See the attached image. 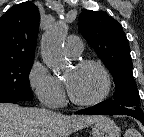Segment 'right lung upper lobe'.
<instances>
[{
  "label": "right lung upper lobe",
  "mask_w": 144,
  "mask_h": 137,
  "mask_svg": "<svg viewBox=\"0 0 144 137\" xmlns=\"http://www.w3.org/2000/svg\"><path fill=\"white\" fill-rule=\"evenodd\" d=\"M39 11L32 2L11 7L0 18V62L34 57Z\"/></svg>",
  "instance_id": "right-lung-upper-lobe-1"
}]
</instances>
